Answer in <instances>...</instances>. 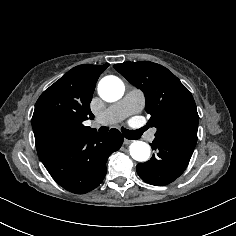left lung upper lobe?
Here are the masks:
<instances>
[{
    "instance_id": "5c2ea615",
    "label": "left lung upper lobe",
    "mask_w": 236,
    "mask_h": 236,
    "mask_svg": "<svg viewBox=\"0 0 236 236\" xmlns=\"http://www.w3.org/2000/svg\"><path fill=\"white\" fill-rule=\"evenodd\" d=\"M114 68L145 94V110L151 117L148 126L156 127L155 138L195 148L199 117L189 90L162 65L149 62H124Z\"/></svg>"
}]
</instances>
